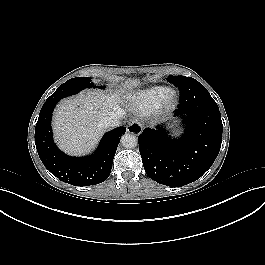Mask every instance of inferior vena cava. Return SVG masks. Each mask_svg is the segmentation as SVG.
<instances>
[{"instance_id":"1","label":"inferior vena cava","mask_w":265,"mask_h":265,"mask_svg":"<svg viewBox=\"0 0 265 265\" xmlns=\"http://www.w3.org/2000/svg\"><path fill=\"white\" fill-rule=\"evenodd\" d=\"M124 116L123 110L110 113L99 122L100 128L117 127L120 124V118Z\"/></svg>"}]
</instances>
